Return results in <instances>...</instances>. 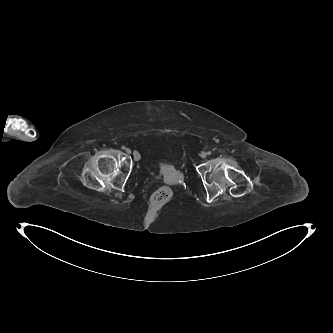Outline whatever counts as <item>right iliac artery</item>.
Segmentation results:
<instances>
[{
	"label": "right iliac artery",
	"instance_id": "right-iliac-artery-1",
	"mask_svg": "<svg viewBox=\"0 0 333 333\" xmlns=\"http://www.w3.org/2000/svg\"><path fill=\"white\" fill-rule=\"evenodd\" d=\"M122 149H126L125 146H122Z\"/></svg>",
	"mask_w": 333,
	"mask_h": 333
}]
</instances>
